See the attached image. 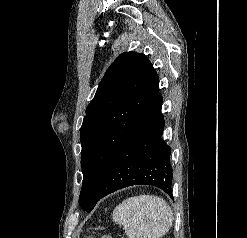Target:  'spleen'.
Returning a JSON list of instances; mask_svg holds the SVG:
<instances>
[{
    "label": "spleen",
    "mask_w": 247,
    "mask_h": 238,
    "mask_svg": "<svg viewBox=\"0 0 247 238\" xmlns=\"http://www.w3.org/2000/svg\"><path fill=\"white\" fill-rule=\"evenodd\" d=\"M113 221L123 227L128 238H160L172 225L168 203L154 195H138L115 207Z\"/></svg>",
    "instance_id": "spleen-1"
}]
</instances>
